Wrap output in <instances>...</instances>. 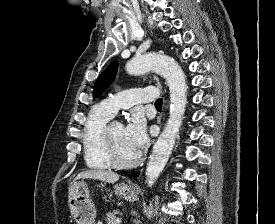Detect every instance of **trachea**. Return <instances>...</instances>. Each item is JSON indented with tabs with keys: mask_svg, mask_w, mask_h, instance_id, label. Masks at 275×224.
Returning a JSON list of instances; mask_svg holds the SVG:
<instances>
[{
	"mask_svg": "<svg viewBox=\"0 0 275 224\" xmlns=\"http://www.w3.org/2000/svg\"><path fill=\"white\" fill-rule=\"evenodd\" d=\"M162 103H163V99L162 98L156 100L155 107H162Z\"/></svg>",
	"mask_w": 275,
	"mask_h": 224,
	"instance_id": "trachea-1",
	"label": "trachea"
}]
</instances>
